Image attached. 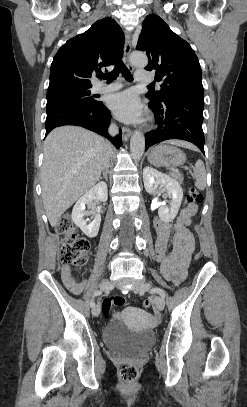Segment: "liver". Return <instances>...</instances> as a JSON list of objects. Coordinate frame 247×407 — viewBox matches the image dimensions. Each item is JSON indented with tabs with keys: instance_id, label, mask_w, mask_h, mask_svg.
I'll use <instances>...</instances> for the list:
<instances>
[{
	"instance_id": "1",
	"label": "liver",
	"mask_w": 247,
	"mask_h": 407,
	"mask_svg": "<svg viewBox=\"0 0 247 407\" xmlns=\"http://www.w3.org/2000/svg\"><path fill=\"white\" fill-rule=\"evenodd\" d=\"M170 143L193 147L182 140H171ZM110 151L102 137L82 127H58L47 136L41 187L44 209L52 227L79 197L96 184Z\"/></svg>"
}]
</instances>
